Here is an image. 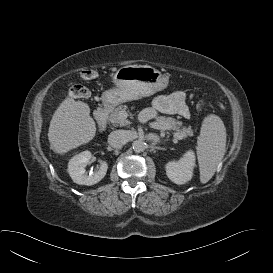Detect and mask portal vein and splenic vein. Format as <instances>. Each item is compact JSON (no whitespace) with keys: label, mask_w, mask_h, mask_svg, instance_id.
I'll return each mask as SVG.
<instances>
[{"label":"portal vein and splenic vein","mask_w":273,"mask_h":273,"mask_svg":"<svg viewBox=\"0 0 273 273\" xmlns=\"http://www.w3.org/2000/svg\"><path fill=\"white\" fill-rule=\"evenodd\" d=\"M122 115H123L124 117H127V114H126V113H122ZM139 120H140L141 122H145V119L143 118L142 115L139 117Z\"/></svg>","instance_id":"18ae733b"}]
</instances>
